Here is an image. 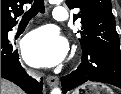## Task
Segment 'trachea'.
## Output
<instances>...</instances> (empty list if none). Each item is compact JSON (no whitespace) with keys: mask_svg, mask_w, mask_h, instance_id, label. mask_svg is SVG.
<instances>
[{"mask_svg":"<svg viewBox=\"0 0 121 94\" xmlns=\"http://www.w3.org/2000/svg\"><path fill=\"white\" fill-rule=\"evenodd\" d=\"M39 12L45 13L44 0H35L32 7L22 16L21 22H29Z\"/></svg>","mask_w":121,"mask_h":94,"instance_id":"3493384b","label":"trachea"}]
</instances>
